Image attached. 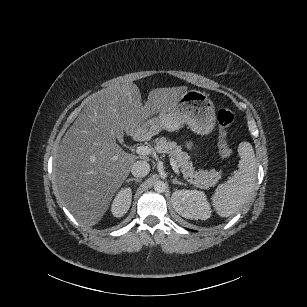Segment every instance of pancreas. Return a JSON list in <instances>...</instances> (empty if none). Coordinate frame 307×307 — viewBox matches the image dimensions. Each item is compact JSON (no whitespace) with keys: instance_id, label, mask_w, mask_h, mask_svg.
Returning <instances> with one entry per match:
<instances>
[{"instance_id":"1","label":"pancreas","mask_w":307,"mask_h":307,"mask_svg":"<svg viewBox=\"0 0 307 307\" xmlns=\"http://www.w3.org/2000/svg\"><path fill=\"white\" fill-rule=\"evenodd\" d=\"M149 146L152 147L156 153L169 152L176 157L180 165V171L184 177H190V182L199 186L200 188L208 189L215 186L218 179L221 177V173L215 169L200 170L194 172L192 163L189 161V156L185 151H182L175 142L168 141L164 137H157L149 142Z\"/></svg>"}]
</instances>
